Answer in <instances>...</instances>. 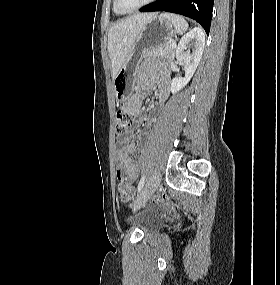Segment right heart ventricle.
<instances>
[{
    "mask_svg": "<svg viewBox=\"0 0 280 285\" xmlns=\"http://www.w3.org/2000/svg\"><path fill=\"white\" fill-rule=\"evenodd\" d=\"M113 10H114V12H115L116 14H118V15L122 14L121 12H119V11L117 10V8H116V6H115V3H113Z\"/></svg>",
    "mask_w": 280,
    "mask_h": 285,
    "instance_id": "e07e8e85",
    "label": "right heart ventricle"
}]
</instances>
